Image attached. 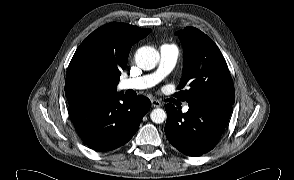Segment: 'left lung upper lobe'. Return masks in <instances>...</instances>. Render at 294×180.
<instances>
[{
	"label": "left lung upper lobe",
	"instance_id": "left-lung-upper-lobe-1",
	"mask_svg": "<svg viewBox=\"0 0 294 180\" xmlns=\"http://www.w3.org/2000/svg\"><path fill=\"white\" fill-rule=\"evenodd\" d=\"M184 48L183 76L175 94L187 103L233 105V81L219 48L209 36L194 27L176 32Z\"/></svg>",
	"mask_w": 294,
	"mask_h": 180
}]
</instances>
